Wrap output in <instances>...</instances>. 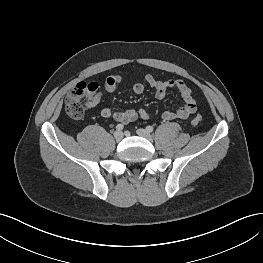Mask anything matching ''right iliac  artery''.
<instances>
[{
  "label": "right iliac artery",
  "instance_id": "82829eb1",
  "mask_svg": "<svg viewBox=\"0 0 263 263\" xmlns=\"http://www.w3.org/2000/svg\"><path fill=\"white\" fill-rule=\"evenodd\" d=\"M123 129H124V125L123 124H117L116 130L121 131Z\"/></svg>",
  "mask_w": 263,
  "mask_h": 263
}]
</instances>
